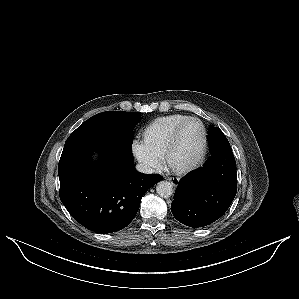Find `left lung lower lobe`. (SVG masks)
Wrapping results in <instances>:
<instances>
[{
	"instance_id": "0a47b994",
	"label": "left lung lower lobe",
	"mask_w": 299,
	"mask_h": 299,
	"mask_svg": "<svg viewBox=\"0 0 299 299\" xmlns=\"http://www.w3.org/2000/svg\"><path fill=\"white\" fill-rule=\"evenodd\" d=\"M211 157L180 179L171 204L174 217L189 227L207 226L231 205L237 191L231 148L209 146Z\"/></svg>"
}]
</instances>
